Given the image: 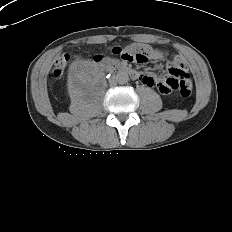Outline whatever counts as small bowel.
<instances>
[{
	"label": "small bowel",
	"mask_w": 232,
	"mask_h": 232,
	"mask_svg": "<svg viewBox=\"0 0 232 232\" xmlns=\"http://www.w3.org/2000/svg\"><path fill=\"white\" fill-rule=\"evenodd\" d=\"M135 48L137 49H149L146 45H141V44H136ZM68 57L67 55H65ZM175 67L183 69L185 67L184 61L181 57H175L173 60V65ZM141 82L143 85L147 87H158V90L162 92L163 95H170L171 94V86L168 85L163 79L160 77L150 74V73H145L141 76Z\"/></svg>",
	"instance_id": "obj_1"
}]
</instances>
